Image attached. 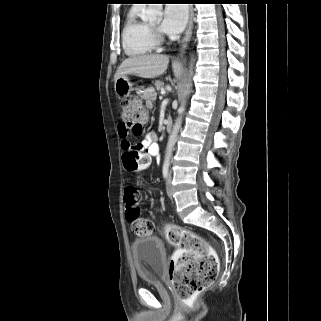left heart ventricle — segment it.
Instances as JSON below:
<instances>
[{"instance_id":"b2bd125f","label":"left heart ventricle","mask_w":321,"mask_h":321,"mask_svg":"<svg viewBox=\"0 0 321 321\" xmlns=\"http://www.w3.org/2000/svg\"><path fill=\"white\" fill-rule=\"evenodd\" d=\"M152 25L156 27V26H157V23H153Z\"/></svg>"}]
</instances>
